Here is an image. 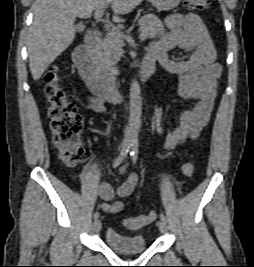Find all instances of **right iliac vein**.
Returning a JSON list of instances; mask_svg holds the SVG:
<instances>
[{
  "label": "right iliac vein",
  "mask_w": 254,
  "mask_h": 267,
  "mask_svg": "<svg viewBox=\"0 0 254 267\" xmlns=\"http://www.w3.org/2000/svg\"><path fill=\"white\" fill-rule=\"evenodd\" d=\"M101 230V222L100 220H95L93 223V232L98 233Z\"/></svg>",
  "instance_id": "obj_1"
}]
</instances>
